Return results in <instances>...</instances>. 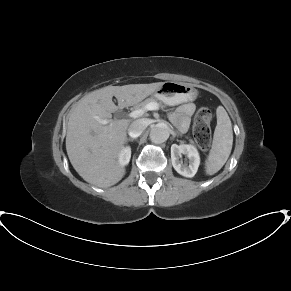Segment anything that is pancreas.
Wrapping results in <instances>:
<instances>
[{
    "instance_id": "cf45deb5",
    "label": "pancreas",
    "mask_w": 291,
    "mask_h": 291,
    "mask_svg": "<svg viewBox=\"0 0 291 291\" xmlns=\"http://www.w3.org/2000/svg\"><path fill=\"white\" fill-rule=\"evenodd\" d=\"M156 101H157V98H155V97L147 98L146 100L142 101L141 103L135 105V109H141L144 106H146L148 103H150V102H156ZM190 142L193 143L192 140H190Z\"/></svg>"
}]
</instances>
